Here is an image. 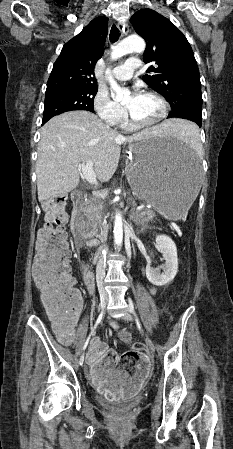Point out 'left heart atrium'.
Returning a JSON list of instances; mask_svg holds the SVG:
<instances>
[{
	"label": "left heart atrium",
	"mask_w": 233,
	"mask_h": 449,
	"mask_svg": "<svg viewBox=\"0 0 233 449\" xmlns=\"http://www.w3.org/2000/svg\"><path fill=\"white\" fill-rule=\"evenodd\" d=\"M141 95L142 93H140L139 91L134 92V94L131 96L132 102H135Z\"/></svg>",
	"instance_id": "1"
}]
</instances>
